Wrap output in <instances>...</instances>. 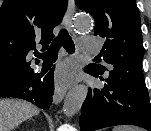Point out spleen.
Segmentation results:
<instances>
[{"label":"spleen","mask_w":151,"mask_h":131,"mask_svg":"<svg viewBox=\"0 0 151 131\" xmlns=\"http://www.w3.org/2000/svg\"><path fill=\"white\" fill-rule=\"evenodd\" d=\"M112 131H140V129L133 126H117Z\"/></svg>","instance_id":"1"}]
</instances>
